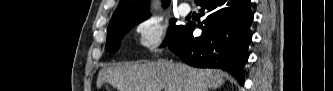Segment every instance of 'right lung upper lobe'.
Returning a JSON list of instances; mask_svg holds the SVG:
<instances>
[{
  "mask_svg": "<svg viewBox=\"0 0 333 91\" xmlns=\"http://www.w3.org/2000/svg\"><path fill=\"white\" fill-rule=\"evenodd\" d=\"M199 1L195 0L196 3ZM169 2L170 0H163V6L166 7ZM148 5L149 0H121L110 22L150 15Z\"/></svg>",
  "mask_w": 333,
  "mask_h": 91,
  "instance_id": "1",
  "label": "right lung upper lobe"
}]
</instances>
